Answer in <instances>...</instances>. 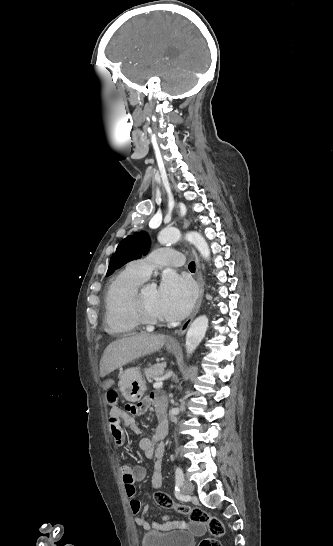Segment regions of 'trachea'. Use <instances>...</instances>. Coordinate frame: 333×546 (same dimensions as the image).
I'll return each instance as SVG.
<instances>
[{"label": "trachea", "mask_w": 333, "mask_h": 546, "mask_svg": "<svg viewBox=\"0 0 333 546\" xmlns=\"http://www.w3.org/2000/svg\"><path fill=\"white\" fill-rule=\"evenodd\" d=\"M188 267L190 271L195 272V262H190Z\"/></svg>", "instance_id": "3493384b"}]
</instances>
